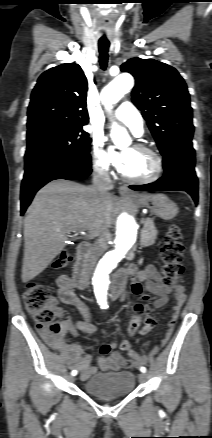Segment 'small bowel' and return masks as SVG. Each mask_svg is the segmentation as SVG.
Segmentation results:
<instances>
[{
  "label": "small bowel",
  "mask_w": 212,
  "mask_h": 438,
  "mask_svg": "<svg viewBox=\"0 0 212 438\" xmlns=\"http://www.w3.org/2000/svg\"><path fill=\"white\" fill-rule=\"evenodd\" d=\"M117 277L122 279L123 282L133 278L131 291L134 295L148 300L149 297L146 292H150L156 297L150 304H147L149 314L144 319V326L140 330L142 335L149 333L157 324L156 319L150 314L151 309L163 307L168 302V295H172L174 298V314L168 322L167 331L162 339V344H165L171 337L179 312L186 300L183 285L179 283H165L153 265H147L140 271H137L135 266L130 265L123 269ZM56 284L59 299L64 303L74 304L84 316L83 321L75 322L66 316L67 313L64 308L55 305V315L59 318H64L61 323L64 331L77 335L80 329L87 335H93L96 332V328L91 322L90 311L83 302L75 298L73 294L75 287L73 280L67 275H60L56 280ZM39 333L51 347L64 356L70 368H76L80 372V378L82 380H87L97 371L96 367L91 365V356L86 353L80 345L66 343L61 336H56L47 327H39ZM117 347L125 351L129 358H124L118 351H115ZM144 363V357L135 352L127 341L121 343L112 341L103 345L100 349V357L98 358V365L103 371L135 369Z\"/></svg>",
  "instance_id": "obj_1"
}]
</instances>
